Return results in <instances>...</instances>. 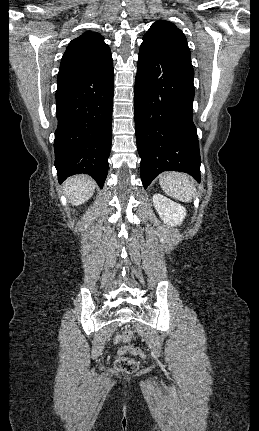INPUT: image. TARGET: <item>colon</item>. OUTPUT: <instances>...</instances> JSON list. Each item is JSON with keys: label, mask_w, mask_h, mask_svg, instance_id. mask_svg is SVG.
Masks as SVG:
<instances>
[{"label": "colon", "mask_w": 259, "mask_h": 431, "mask_svg": "<svg viewBox=\"0 0 259 431\" xmlns=\"http://www.w3.org/2000/svg\"><path fill=\"white\" fill-rule=\"evenodd\" d=\"M133 337V331L125 328L116 335L115 340L127 344L132 341ZM126 353L140 357H143L144 354L138 347L124 346L120 349L119 356L115 360V366L121 372L132 374L138 370L139 364L134 358L125 356Z\"/></svg>", "instance_id": "obj_1"}]
</instances>
